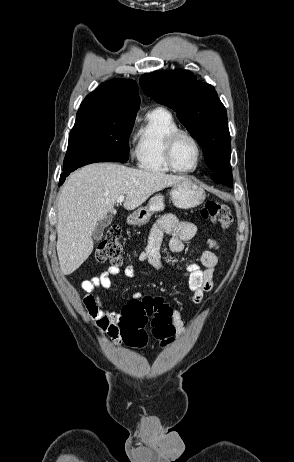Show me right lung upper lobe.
<instances>
[{
  "instance_id": "cb5924a9",
  "label": "right lung upper lobe",
  "mask_w": 294,
  "mask_h": 462,
  "mask_svg": "<svg viewBox=\"0 0 294 462\" xmlns=\"http://www.w3.org/2000/svg\"><path fill=\"white\" fill-rule=\"evenodd\" d=\"M139 91L135 81L115 78L102 83L87 95L78 112L106 111L136 114L139 109Z\"/></svg>"
}]
</instances>
